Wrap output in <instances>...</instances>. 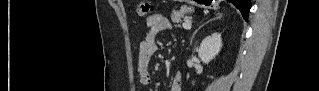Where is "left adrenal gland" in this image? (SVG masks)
Listing matches in <instances>:
<instances>
[{
	"label": "left adrenal gland",
	"mask_w": 319,
	"mask_h": 91,
	"mask_svg": "<svg viewBox=\"0 0 319 91\" xmlns=\"http://www.w3.org/2000/svg\"><path fill=\"white\" fill-rule=\"evenodd\" d=\"M221 18H222V14H219V13H218L215 18H213V19L207 21L205 24L209 23V22L212 21V20L221 19ZM205 24H202L201 26H199L198 29L195 30V32H194L193 35H192V39L194 38L195 34H196ZM192 39H191V40H192Z\"/></svg>",
	"instance_id": "left-adrenal-gland-1"
}]
</instances>
